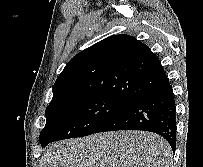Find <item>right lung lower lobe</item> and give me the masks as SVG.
<instances>
[{"instance_id": "98d812e1", "label": "right lung lower lobe", "mask_w": 203, "mask_h": 167, "mask_svg": "<svg viewBox=\"0 0 203 167\" xmlns=\"http://www.w3.org/2000/svg\"><path fill=\"white\" fill-rule=\"evenodd\" d=\"M176 105L169 80L122 109L97 132L116 130H142L161 135L176 148Z\"/></svg>"}]
</instances>
